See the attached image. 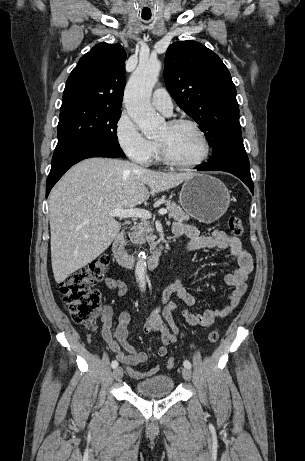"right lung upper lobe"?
<instances>
[{
    "label": "right lung upper lobe",
    "instance_id": "right-lung-upper-lobe-1",
    "mask_svg": "<svg viewBox=\"0 0 305 461\" xmlns=\"http://www.w3.org/2000/svg\"><path fill=\"white\" fill-rule=\"evenodd\" d=\"M125 60L126 52L120 44L95 45L68 77L61 108L90 104L120 109L126 84Z\"/></svg>",
    "mask_w": 305,
    "mask_h": 461
}]
</instances>
